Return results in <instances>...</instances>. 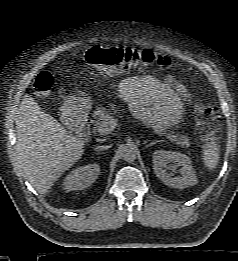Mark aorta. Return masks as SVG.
I'll return each mask as SVG.
<instances>
[{"label": "aorta", "mask_w": 238, "mask_h": 261, "mask_svg": "<svg viewBox=\"0 0 238 261\" xmlns=\"http://www.w3.org/2000/svg\"><path fill=\"white\" fill-rule=\"evenodd\" d=\"M121 155L124 161L131 163L137 157V149L135 146L126 145L122 148Z\"/></svg>", "instance_id": "1"}]
</instances>
